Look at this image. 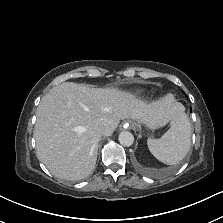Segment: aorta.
<instances>
[{
    "mask_svg": "<svg viewBox=\"0 0 223 223\" xmlns=\"http://www.w3.org/2000/svg\"><path fill=\"white\" fill-rule=\"evenodd\" d=\"M118 140L121 145L129 147L134 142V136L129 131H123L119 134Z\"/></svg>",
    "mask_w": 223,
    "mask_h": 223,
    "instance_id": "aorta-1",
    "label": "aorta"
}]
</instances>
